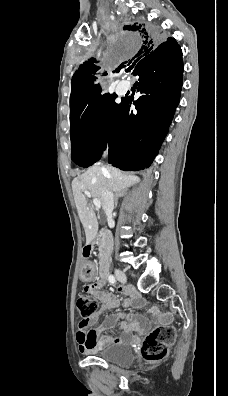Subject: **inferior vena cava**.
Returning a JSON list of instances; mask_svg holds the SVG:
<instances>
[{
	"label": "inferior vena cava",
	"mask_w": 228,
	"mask_h": 396,
	"mask_svg": "<svg viewBox=\"0 0 228 396\" xmlns=\"http://www.w3.org/2000/svg\"><path fill=\"white\" fill-rule=\"evenodd\" d=\"M108 154V152L104 153V157ZM102 198H103V209L105 211V214L107 216V220L110 221L112 220V212L114 209V195L113 192L107 188L104 187L102 191Z\"/></svg>",
	"instance_id": "inferior-vena-cava-1"
}]
</instances>
